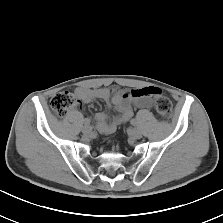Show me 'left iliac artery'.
Here are the masks:
<instances>
[{
	"mask_svg": "<svg viewBox=\"0 0 223 223\" xmlns=\"http://www.w3.org/2000/svg\"><path fill=\"white\" fill-rule=\"evenodd\" d=\"M130 123H131L132 125L136 126V125H137V120H136V119H132V120L130 121Z\"/></svg>",
	"mask_w": 223,
	"mask_h": 223,
	"instance_id": "44dca946",
	"label": "left iliac artery"
}]
</instances>
